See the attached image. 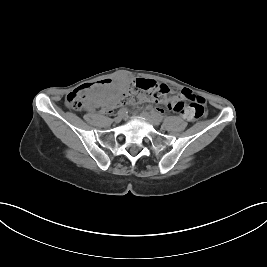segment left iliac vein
Returning <instances> with one entry per match:
<instances>
[{"label": "left iliac vein", "mask_w": 267, "mask_h": 267, "mask_svg": "<svg viewBox=\"0 0 267 267\" xmlns=\"http://www.w3.org/2000/svg\"><path fill=\"white\" fill-rule=\"evenodd\" d=\"M141 117L148 122L149 124L153 125V126H157L159 125V121L156 120L153 116H151L149 113L147 112H142L141 113Z\"/></svg>", "instance_id": "4c4485c4"}]
</instances>
